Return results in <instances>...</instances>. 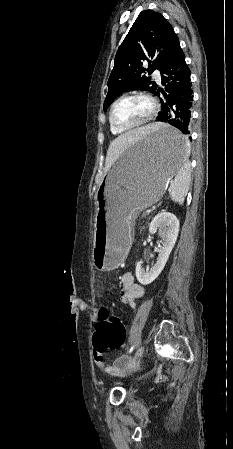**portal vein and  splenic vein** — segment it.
<instances>
[{
  "mask_svg": "<svg viewBox=\"0 0 233 449\" xmlns=\"http://www.w3.org/2000/svg\"><path fill=\"white\" fill-rule=\"evenodd\" d=\"M153 209H147L146 213H150Z\"/></svg>",
  "mask_w": 233,
  "mask_h": 449,
  "instance_id": "18ae733b",
  "label": "portal vein and splenic vein"
}]
</instances>
